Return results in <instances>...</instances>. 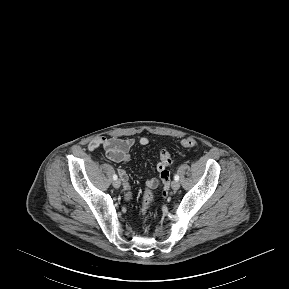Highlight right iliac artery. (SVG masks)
<instances>
[{
  "mask_svg": "<svg viewBox=\"0 0 289 289\" xmlns=\"http://www.w3.org/2000/svg\"><path fill=\"white\" fill-rule=\"evenodd\" d=\"M117 178H118L117 175L114 174V175H113V179H114V180H117Z\"/></svg>",
  "mask_w": 289,
  "mask_h": 289,
  "instance_id": "82829eb1",
  "label": "right iliac artery"
}]
</instances>
